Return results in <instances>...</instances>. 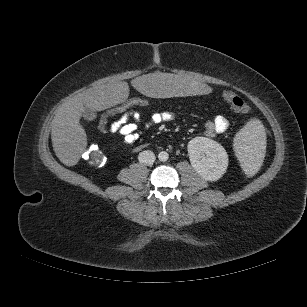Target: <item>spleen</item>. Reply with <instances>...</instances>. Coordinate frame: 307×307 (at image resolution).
Segmentation results:
<instances>
[{"label": "spleen", "instance_id": "spleen-1", "mask_svg": "<svg viewBox=\"0 0 307 307\" xmlns=\"http://www.w3.org/2000/svg\"><path fill=\"white\" fill-rule=\"evenodd\" d=\"M270 141L265 137L259 120L249 121L233 140L234 151L239 156L238 168L248 179L257 176L263 168V150Z\"/></svg>", "mask_w": 307, "mask_h": 307}]
</instances>
